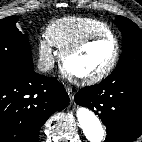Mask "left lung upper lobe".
<instances>
[{"label":"left lung upper lobe","instance_id":"obj_1","mask_svg":"<svg viewBox=\"0 0 142 142\" xmlns=\"http://www.w3.org/2000/svg\"><path fill=\"white\" fill-rule=\"evenodd\" d=\"M115 23L122 33L123 53L116 68L106 79L114 81L142 76V30L123 16H117Z\"/></svg>","mask_w":142,"mask_h":142}]
</instances>
